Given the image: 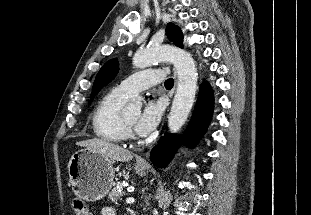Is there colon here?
I'll return each instance as SVG.
<instances>
[{
    "mask_svg": "<svg viewBox=\"0 0 311 215\" xmlns=\"http://www.w3.org/2000/svg\"><path fill=\"white\" fill-rule=\"evenodd\" d=\"M73 213L74 215H92L88 205L80 199L73 201Z\"/></svg>",
    "mask_w": 311,
    "mask_h": 215,
    "instance_id": "5ec220e1",
    "label": "colon"
}]
</instances>
